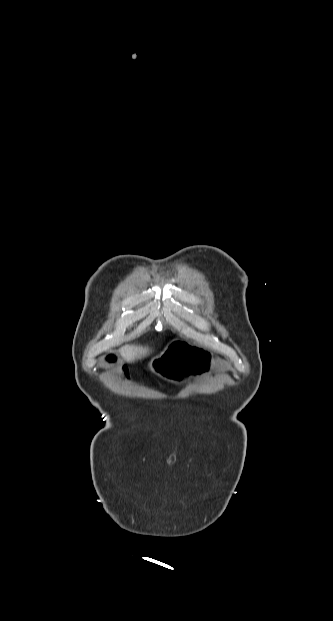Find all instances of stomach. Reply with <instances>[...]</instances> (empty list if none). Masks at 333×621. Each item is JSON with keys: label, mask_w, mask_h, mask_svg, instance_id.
Segmentation results:
<instances>
[{"label": "stomach", "mask_w": 333, "mask_h": 621, "mask_svg": "<svg viewBox=\"0 0 333 621\" xmlns=\"http://www.w3.org/2000/svg\"><path fill=\"white\" fill-rule=\"evenodd\" d=\"M206 347L199 341L192 340H173L165 350H161L156 358V363L161 371H165L167 379H187L193 376L201 378L202 373L199 369L205 366Z\"/></svg>", "instance_id": "0dacf381"}]
</instances>
